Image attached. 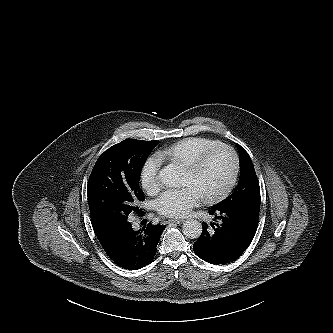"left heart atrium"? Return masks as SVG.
<instances>
[{"label": "left heart atrium", "mask_w": 333, "mask_h": 333, "mask_svg": "<svg viewBox=\"0 0 333 333\" xmlns=\"http://www.w3.org/2000/svg\"><path fill=\"white\" fill-rule=\"evenodd\" d=\"M203 196L192 186L171 188L164 191L156 200L159 213L166 217H184L201 204Z\"/></svg>", "instance_id": "obj_1"}]
</instances>
